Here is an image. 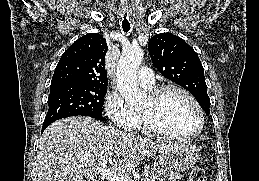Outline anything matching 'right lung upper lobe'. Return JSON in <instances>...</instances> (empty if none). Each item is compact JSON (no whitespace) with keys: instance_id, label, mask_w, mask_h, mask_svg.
<instances>
[{"instance_id":"1","label":"right lung upper lobe","mask_w":259,"mask_h":181,"mask_svg":"<svg viewBox=\"0 0 259 181\" xmlns=\"http://www.w3.org/2000/svg\"><path fill=\"white\" fill-rule=\"evenodd\" d=\"M107 50V43L99 33L82 36L61 56L50 87L73 85L107 88Z\"/></svg>"}]
</instances>
